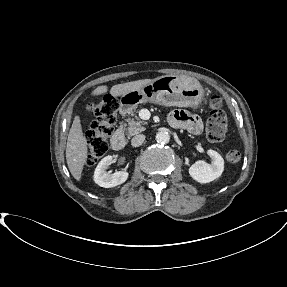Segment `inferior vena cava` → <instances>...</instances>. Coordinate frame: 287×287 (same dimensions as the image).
Segmentation results:
<instances>
[{
    "label": "inferior vena cava",
    "mask_w": 287,
    "mask_h": 287,
    "mask_svg": "<svg viewBox=\"0 0 287 287\" xmlns=\"http://www.w3.org/2000/svg\"><path fill=\"white\" fill-rule=\"evenodd\" d=\"M144 140H145V135L143 134L136 135L132 138L131 145L133 147H139L140 145L143 144Z\"/></svg>",
    "instance_id": "obj_1"
}]
</instances>
